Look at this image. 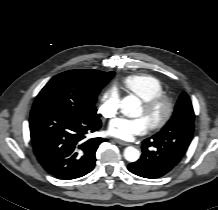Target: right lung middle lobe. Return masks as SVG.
<instances>
[{"label": "right lung middle lobe", "mask_w": 218, "mask_h": 210, "mask_svg": "<svg viewBox=\"0 0 218 210\" xmlns=\"http://www.w3.org/2000/svg\"><path fill=\"white\" fill-rule=\"evenodd\" d=\"M110 79L89 81L69 72L53 77L37 95L33 108H60L87 118L98 117L95 102Z\"/></svg>", "instance_id": "dd1d6c3e"}]
</instances>
